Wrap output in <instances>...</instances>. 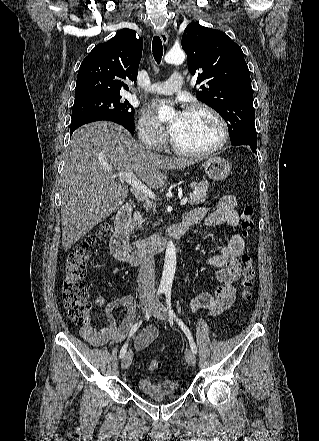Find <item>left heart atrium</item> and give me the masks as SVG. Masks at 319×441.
<instances>
[{"mask_svg":"<svg viewBox=\"0 0 319 441\" xmlns=\"http://www.w3.org/2000/svg\"><path fill=\"white\" fill-rule=\"evenodd\" d=\"M158 107V104L154 105V109H156ZM185 115V111L183 110H177L174 117H173V121H171L169 123V131L172 133V131L174 130L176 124L182 119V117Z\"/></svg>","mask_w":319,"mask_h":441,"instance_id":"left-heart-atrium-1","label":"left heart atrium"}]
</instances>
